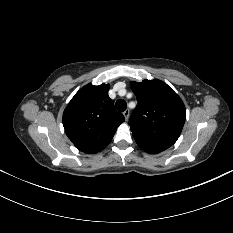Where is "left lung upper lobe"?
Wrapping results in <instances>:
<instances>
[{
    "label": "left lung upper lobe",
    "mask_w": 233,
    "mask_h": 233,
    "mask_svg": "<svg viewBox=\"0 0 233 233\" xmlns=\"http://www.w3.org/2000/svg\"><path fill=\"white\" fill-rule=\"evenodd\" d=\"M131 88L138 100L129 120L136 143L156 141L173 145L186 118L183 101L171 87L157 79L132 81Z\"/></svg>",
    "instance_id": "5c2ea615"
}]
</instances>
